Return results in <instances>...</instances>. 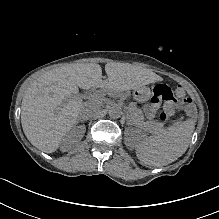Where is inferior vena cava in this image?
Masks as SVG:
<instances>
[{"instance_id":"inferior-vena-cava-1","label":"inferior vena cava","mask_w":219,"mask_h":219,"mask_svg":"<svg viewBox=\"0 0 219 219\" xmlns=\"http://www.w3.org/2000/svg\"><path fill=\"white\" fill-rule=\"evenodd\" d=\"M94 115H95L94 109L92 107L86 106L81 109L79 117L80 119L89 121L94 118Z\"/></svg>"}]
</instances>
